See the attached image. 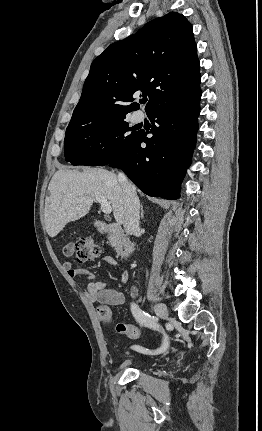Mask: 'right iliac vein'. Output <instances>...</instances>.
<instances>
[{"label": "right iliac vein", "mask_w": 262, "mask_h": 431, "mask_svg": "<svg viewBox=\"0 0 262 431\" xmlns=\"http://www.w3.org/2000/svg\"><path fill=\"white\" fill-rule=\"evenodd\" d=\"M155 312L156 314L163 320L166 321L168 318V309L167 307L162 303H157L155 305Z\"/></svg>", "instance_id": "right-iliac-vein-1"}]
</instances>
